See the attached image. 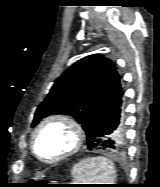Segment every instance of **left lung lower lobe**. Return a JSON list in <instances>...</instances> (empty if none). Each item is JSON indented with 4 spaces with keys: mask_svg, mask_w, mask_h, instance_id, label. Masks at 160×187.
<instances>
[{
    "mask_svg": "<svg viewBox=\"0 0 160 187\" xmlns=\"http://www.w3.org/2000/svg\"><path fill=\"white\" fill-rule=\"evenodd\" d=\"M122 97L123 92L121 90L101 110L93 128L86 134L89 149L95 148L111 152L123 149V139L111 137L121 127Z\"/></svg>",
    "mask_w": 160,
    "mask_h": 187,
    "instance_id": "0a47b994",
    "label": "left lung lower lobe"
}]
</instances>
